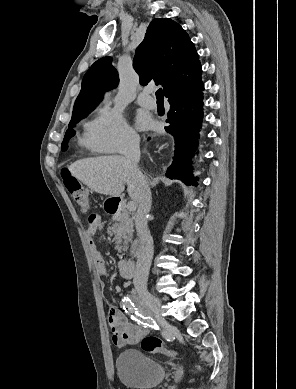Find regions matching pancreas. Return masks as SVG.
I'll return each instance as SVG.
<instances>
[{
  "mask_svg": "<svg viewBox=\"0 0 296 389\" xmlns=\"http://www.w3.org/2000/svg\"><path fill=\"white\" fill-rule=\"evenodd\" d=\"M112 233L115 235L116 249L126 250L128 242L133 236V220L126 209H122L113 218Z\"/></svg>",
  "mask_w": 296,
  "mask_h": 389,
  "instance_id": "pancreas-1",
  "label": "pancreas"
}]
</instances>
